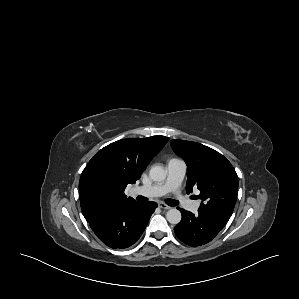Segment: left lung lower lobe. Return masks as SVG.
I'll return each mask as SVG.
<instances>
[{
	"label": "left lung lower lobe",
	"instance_id": "0a47b994",
	"mask_svg": "<svg viewBox=\"0 0 299 299\" xmlns=\"http://www.w3.org/2000/svg\"><path fill=\"white\" fill-rule=\"evenodd\" d=\"M178 209L181 211L182 219L174 231L176 236L189 246L196 247L210 242L225 226L203 212L193 214Z\"/></svg>",
	"mask_w": 299,
	"mask_h": 299
}]
</instances>
